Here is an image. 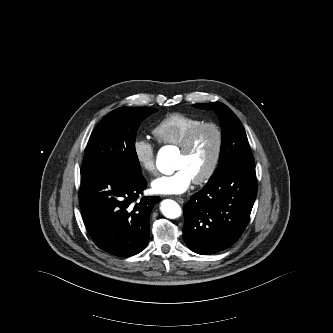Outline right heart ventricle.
Listing matches in <instances>:
<instances>
[{
  "label": "right heart ventricle",
  "mask_w": 333,
  "mask_h": 333,
  "mask_svg": "<svg viewBox=\"0 0 333 333\" xmlns=\"http://www.w3.org/2000/svg\"><path fill=\"white\" fill-rule=\"evenodd\" d=\"M203 122L202 119L196 117L173 113L156 125L153 134L162 144L180 146L189 132Z\"/></svg>",
  "instance_id": "obj_1"
}]
</instances>
